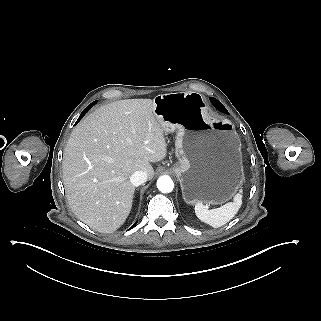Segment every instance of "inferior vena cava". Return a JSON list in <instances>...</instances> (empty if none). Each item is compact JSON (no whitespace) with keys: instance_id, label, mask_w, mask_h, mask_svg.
Wrapping results in <instances>:
<instances>
[{"instance_id":"obj_1","label":"inferior vena cava","mask_w":321,"mask_h":321,"mask_svg":"<svg viewBox=\"0 0 321 321\" xmlns=\"http://www.w3.org/2000/svg\"><path fill=\"white\" fill-rule=\"evenodd\" d=\"M147 179H148L147 173L144 171H136L130 177V181L134 186H139L145 183Z\"/></svg>"}]
</instances>
